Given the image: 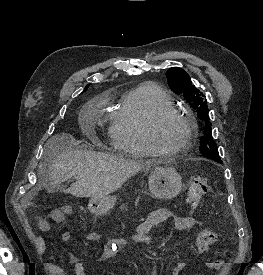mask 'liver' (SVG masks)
I'll use <instances>...</instances> for the list:
<instances>
[{"instance_id": "obj_1", "label": "liver", "mask_w": 263, "mask_h": 275, "mask_svg": "<svg viewBox=\"0 0 263 275\" xmlns=\"http://www.w3.org/2000/svg\"><path fill=\"white\" fill-rule=\"evenodd\" d=\"M76 143L70 134L65 133L47 142L46 153H54L46 170L51 191L62 190L82 198L106 197L147 165L112 154L75 150L72 146ZM72 177L76 182L64 189L61 184Z\"/></svg>"}]
</instances>
